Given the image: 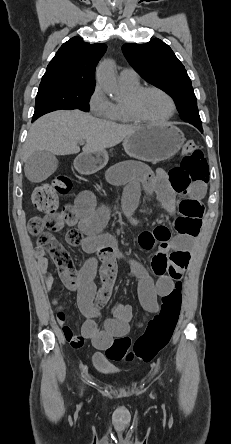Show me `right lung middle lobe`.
Wrapping results in <instances>:
<instances>
[{"instance_id": "right-lung-middle-lobe-1", "label": "right lung middle lobe", "mask_w": 231, "mask_h": 444, "mask_svg": "<svg viewBox=\"0 0 231 444\" xmlns=\"http://www.w3.org/2000/svg\"><path fill=\"white\" fill-rule=\"evenodd\" d=\"M94 88L45 87L39 88L32 121L59 109H80L88 111L87 102Z\"/></svg>"}]
</instances>
